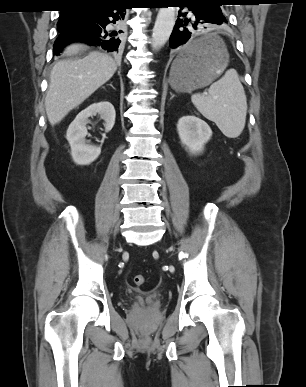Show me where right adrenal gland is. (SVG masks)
Masks as SVG:
<instances>
[{"label":"right adrenal gland","instance_id":"right-adrenal-gland-1","mask_svg":"<svg viewBox=\"0 0 306 387\" xmlns=\"http://www.w3.org/2000/svg\"><path fill=\"white\" fill-rule=\"evenodd\" d=\"M110 86H111L112 88H114L112 84H110Z\"/></svg>","mask_w":306,"mask_h":387}]
</instances>
